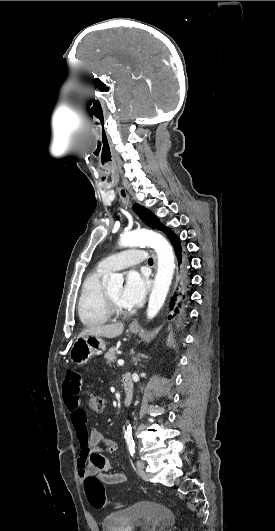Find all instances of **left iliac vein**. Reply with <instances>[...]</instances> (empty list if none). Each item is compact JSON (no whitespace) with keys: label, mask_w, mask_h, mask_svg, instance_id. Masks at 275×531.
Returning <instances> with one entry per match:
<instances>
[{"label":"left iliac vein","mask_w":275,"mask_h":531,"mask_svg":"<svg viewBox=\"0 0 275 531\" xmlns=\"http://www.w3.org/2000/svg\"><path fill=\"white\" fill-rule=\"evenodd\" d=\"M136 465H137V472H138V475L145 481H148L149 477L148 475L145 473L144 471V467H145V464L143 461H137L136 462Z\"/></svg>","instance_id":"obj_1"}]
</instances>
